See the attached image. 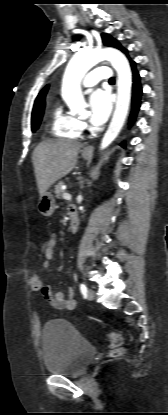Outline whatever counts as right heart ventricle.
<instances>
[{
	"label": "right heart ventricle",
	"instance_id": "1",
	"mask_svg": "<svg viewBox=\"0 0 168 415\" xmlns=\"http://www.w3.org/2000/svg\"><path fill=\"white\" fill-rule=\"evenodd\" d=\"M51 133L55 137L77 139L81 136L82 125L76 117L59 105L52 114Z\"/></svg>",
	"mask_w": 168,
	"mask_h": 415
}]
</instances>
